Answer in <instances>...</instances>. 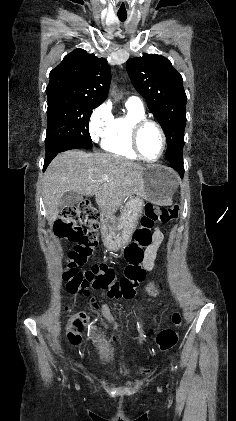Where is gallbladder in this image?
Listing matches in <instances>:
<instances>
[{
  "label": "gallbladder",
  "instance_id": "1",
  "mask_svg": "<svg viewBox=\"0 0 236 421\" xmlns=\"http://www.w3.org/2000/svg\"><path fill=\"white\" fill-rule=\"evenodd\" d=\"M82 194L79 192H74V190H67L64 192L59 204H58V211H61V208H66V206H74L77 202L82 200Z\"/></svg>",
  "mask_w": 236,
  "mask_h": 421
}]
</instances>
